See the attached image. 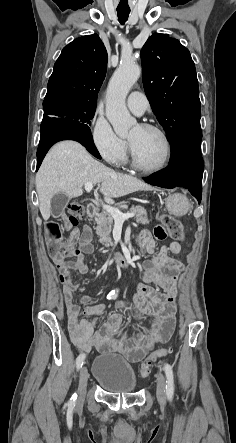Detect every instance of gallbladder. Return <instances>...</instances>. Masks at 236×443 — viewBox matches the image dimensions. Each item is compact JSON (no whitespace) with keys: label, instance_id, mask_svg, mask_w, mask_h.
<instances>
[{"label":"gallbladder","instance_id":"bac80fb5","mask_svg":"<svg viewBox=\"0 0 236 443\" xmlns=\"http://www.w3.org/2000/svg\"><path fill=\"white\" fill-rule=\"evenodd\" d=\"M70 198L65 193H57L55 194L50 203V211L51 215L54 218H58L62 215L64 209L68 205Z\"/></svg>","mask_w":236,"mask_h":443}]
</instances>
